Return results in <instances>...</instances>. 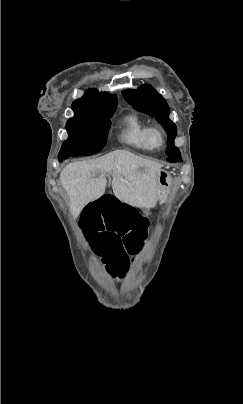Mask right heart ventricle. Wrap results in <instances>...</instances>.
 I'll return each instance as SVG.
<instances>
[{
  "label": "right heart ventricle",
  "instance_id": "e07e8e85",
  "mask_svg": "<svg viewBox=\"0 0 243 404\" xmlns=\"http://www.w3.org/2000/svg\"><path fill=\"white\" fill-rule=\"evenodd\" d=\"M148 124L137 114H128L122 119L118 140L125 147L138 152H156L160 149L147 137Z\"/></svg>",
  "mask_w": 243,
  "mask_h": 404
}]
</instances>
